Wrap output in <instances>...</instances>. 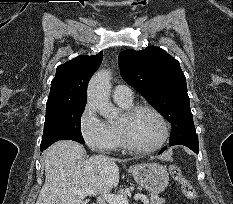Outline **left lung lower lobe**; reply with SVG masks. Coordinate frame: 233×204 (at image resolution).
<instances>
[{
    "label": "left lung lower lobe",
    "mask_w": 233,
    "mask_h": 204,
    "mask_svg": "<svg viewBox=\"0 0 233 204\" xmlns=\"http://www.w3.org/2000/svg\"><path fill=\"white\" fill-rule=\"evenodd\" d=\"M173 145H184L189 147L191 150L198 154L199 145H198V137L196 134L185 135L177 139L176 141L170 142V146ZM167 147H164L160 153H162Z\"/></svg>",
    "instance_id": "obj_1"
}]
</instances>
